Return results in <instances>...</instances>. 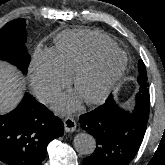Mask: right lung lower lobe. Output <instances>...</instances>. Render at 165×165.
Here are the masks:
<instances>
[{
  "mask_svg": "<svg viewBox=\"0 0 165 165\" xmlns=\"http://www.w3.org/2000/svg\"><path fill=\"white\" fill-rule=\"evenodd\" d=\"M63 133L60 118L25 93L16 109L0 115V161L8 165H41L48 143Z\"/></svg>",
  "mask_w": 165,
  "mask_h": 165,
  "instance_id": "right-lung-lower-lobe-1",
  "label": "right lung lower lobe"
}]
</instances>
